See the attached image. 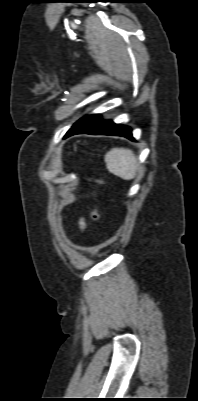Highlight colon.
<instances>
[{
  "label": "colon",
  "mask_w": 198,
  "mask_h": 401,
  "mask_svg": "<svg viewBox=\"0 0 198 401\" xmlns=\"http://www.w3.org/2000/svg\"><path fill=\"white\" fill-rule=\"evenodd\" d=\"M94 181L97 182V183H99V184H102V183H103L102 180H100V179H94ZM93 217H94L95 219H98V218H99V214H98V212H97L96 209H95L94 212H93Z\"/></svg>",
  "instance_id": "1"
}]
</instances>
